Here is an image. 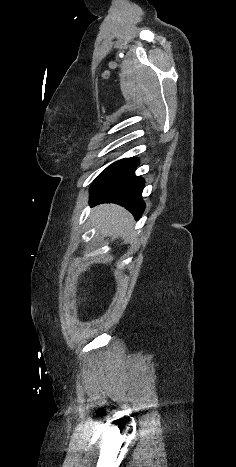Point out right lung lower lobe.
I'll use <instances>...</instances> for the list:
<instances>
[{"label":"right lung lower lobe","instance_id":"1","mask_svg":"<svg viewBox=\"0 0 236 467\" xmlns=\"http://www.w3.org/2000/svg\"><path fill=\"white\" fill-rule=\"evenodd\" d=\"M139 162L134 158L122 159L108 166L93 182L90 203H116L128 209L136 219L145 209L142 200L144 180L134 170Z\"/></svg>","mask_w":236,"mask_h":467}]
</instances>
